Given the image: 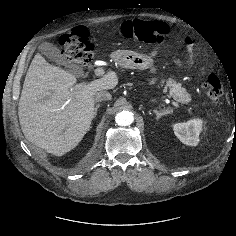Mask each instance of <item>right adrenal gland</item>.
<instances>
[{
    "label": "right adrenal gland",
    "mask_w": 236,
    "mask_h": 236,
    "mask_svg": "<svg viewBox=\"0 0 236 236\" xmlns=\"http://www.w3.org/2000/svg\"><path fill=\"white\" fill-rule=\"evenodd\" d=\"M100 104H97L95 107V112H97L98 108H99Z\"/></svg>",
    "instance_id": "1"
}]
</instances>
